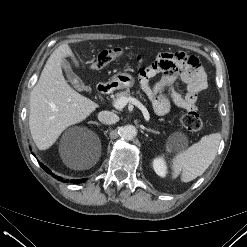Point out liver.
<instances>
[{
    "instance_id": "liver-1",
    "label": "liver",
    "mask_w": 247,
    "mask_h": 247,
    "mask_svg": "<svg viewBox=\"0 0 247 247\" xmlns=\"http://www.w3.org/2000/svg\"><path fill=\"white\" fill-rule=\"evenodd\" d=\"M66 57H70L79 67L68 44L60 45L48 58L30 95L29 127L40 150L50 148L66 128L82 122L99 107L66 82L62 73V63ZM98 159L99 154L85 163L67 166L74 170L89 169Z\"/></svg>"
}]
</instances>
